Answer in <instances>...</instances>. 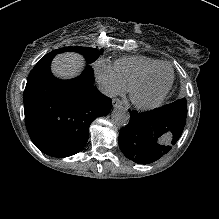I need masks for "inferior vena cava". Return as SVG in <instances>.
I'll return each instance as SVG.
<instances>
[{"mask_svg": "<svg viewBox=\"0 0 219 219\" xmlns=\"http://www.w3.org/2000/svg\"><path fill=\"white\" fill-rule=\"evenodd\" d=\"M98 90L100 93L109 98L115 97L117 95L116 92L109 85L104 83L98 85Z\"/></svg>", "mask_w": 219, "mask_h": 219, "instance_id": "inferior-vena-cava-1", "label": "inferior vena cava"}]
</instances>
